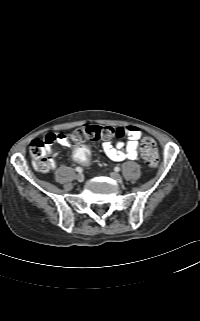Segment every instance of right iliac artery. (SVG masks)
Segmentation results:
<instances>
[{
	"mask_svg": "<svg viewBox=\"0 0 200 321\" xmlns=\"http://www.w3.org/2000/svg\"><path fill=\"white\" fill-rule=\"evenodd\" d=\"M76 171H77V172H82V168H81V167H77V168H76Z\"/></svg>",
	"mask_w": 200,
	"mask_h": 321,
	"instance_id": "1",
	"label": "right iliac artery"
}]
</instances>
